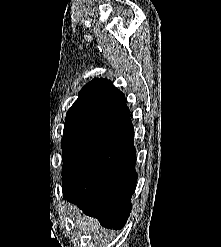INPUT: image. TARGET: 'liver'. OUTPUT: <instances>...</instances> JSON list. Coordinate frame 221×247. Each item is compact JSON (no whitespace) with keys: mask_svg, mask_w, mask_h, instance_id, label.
Wrapping results in <instances>:
<instances>
[{"mask_svg":"<svg viewBox=\"0 0 221 247\" xmlns=\"http://www.w3.org/2000/svg\"><path fill=\"white\" fill-rule=\"evenodd\" d=\"M70 210L72 211L71 217L73 218L75 225L82 226L87 232L93 233V235H96V233L99 234L100 225L95 219L86 216H78L79 211L77 207H70ZM99 235L101 236V233Z\"/></svg>","mask_w":221,"mask_h":247,"instance_id":"liver-1","label":"liver"}]
</instances>
